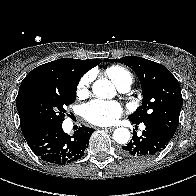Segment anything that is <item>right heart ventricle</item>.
Listing matches in <instances>:
<instances>
[{"instance_id":"right-heart-ventricle-1","label":"right heart ventricle","mask_w":196,"mask_h":196,"mask_svg":"<svg viewBox=\"0 0 196 196\" xmlns=\"http://www.w3.org/2000/svg\"><path fill=\"white\" fill-rule=\"evenodd\" d=\"M106 73L117 86L127 81L132 82L131 74L120 66H111L107 68Z\"/></svg>"}]
</instances>
